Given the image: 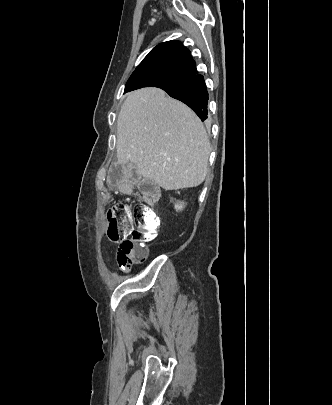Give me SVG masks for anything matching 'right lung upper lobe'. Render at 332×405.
I'll return each mask as SVG.
<instances>
[{"label": "right lung upper lobe", "instance_id": "right-lung-upper-lobe-1", "mask_svg": "<svg viewBox=\"0 0 332 405\" xmlns=\"http://www.w3.org/2000/svg\"><path fill=\"white\" fill-rule=\"evenodd\" d=\"M145 71H160L181 76L183 79L197 74L196 63L190 51L175 40L154 47L134 72Z\"/></svg>", "mask_w": 332, "mask_h": 405}]
</instances>
